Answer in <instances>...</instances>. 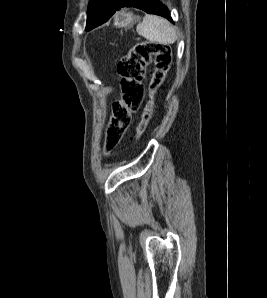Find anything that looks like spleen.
<instances>
[{"mask_svg": "<svg viewBox=\"0 0 267 298\" xmlns=\"http://www.w3.org/2000/svg\"><path fill=\"white\" fill-rule=\"evenodd\" d=\"M137 33L150 42L173 44L177 40L175 27L166 19L156 15H146L137 25Z\"/></svg>", "mask_w": 267, "mask_h": 298, "instance_id": "3e777b00", "label": "spleen"}]
</instances>
